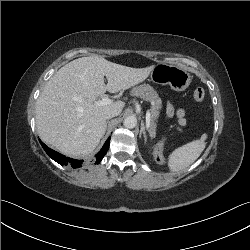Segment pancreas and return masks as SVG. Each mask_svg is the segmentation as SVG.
Segmentation results:
<instances>
[{
    "mask_svg": "<svg viewBox=\"0 0 250 250\" xmlns=\"http://www.w3.org/2000/svg\"><path fill=\"white\" fill-rule=\"evenodd\" d=\"M130 94L135 97H139L143 100L150 101L152 103L151 108V120L149 126V134L154 137L156 134V120L159 117L160 109L162 108V100L154 90L148 84H141L139 86L133 87ZM163 143V141H161Z\"/></svg>",
    "mask_w": 250,
    "mask_h": 250,
    "instance_id": "cf45deb5",
    "label": "pancreas"
}]
</instances>
